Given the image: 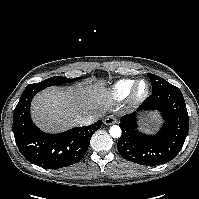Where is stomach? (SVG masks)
<instances>
[{"label": "stomach", "mask_w": 199, "mask_h": 199, "mask_svg": "<svg viewBox=\"0 0 199 199\" xmlns=\"http://www.w3.org/2000/svg\"><path fill=\"white\" fill-rule=\"evenodd\" d=\"M153 125H154V123L151 122L150 124L147 125V128L150 127V126H153Z\"/></svg>", "instance_id": "obj_1"}]
</instances>
